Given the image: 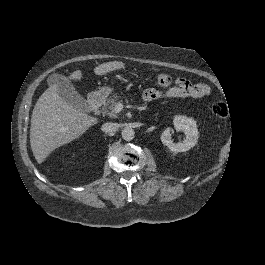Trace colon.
Returning a JSON list of instances; mask_svg holds the SVG:
<instances>
[{
	"label": "colon",
	"instance_id": "colon-1",
	"mask_svg": "<svg viewBox=\"0 0 265 265\" xmlns=\"http://www.w3.org/2000/svg\"><path fill=\"white\" fill-rule=\"evenodd\" d=\"M156 81L159 86L167 87L171 84L172 77L167 73H161L157 76ZM211 111L216 117L222 118L227 116L229 110L226 103L217 101L212 105Z\"/></svg>",
	"mask_w": 265,
	"mask_h": 265
}]
</instances>
